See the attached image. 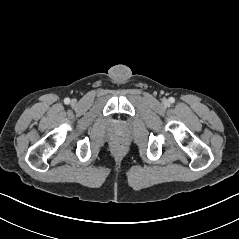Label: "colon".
<instances>
[{"label": "colon", "mask_w": 239, "mask_h": 239, "mask_svg": "<svg viewBox=\"0 0 239 239\" xmlns=\"http://www.w3.org/2000/svg\"><path fill=\"white\" fill-rule=\"evenodd\" d=\"M114 147L117 153H122L124 151V146L122 143L117 142L115 143Z\"/></svg>", "instance_id": "colon-1"}]
</instances>
